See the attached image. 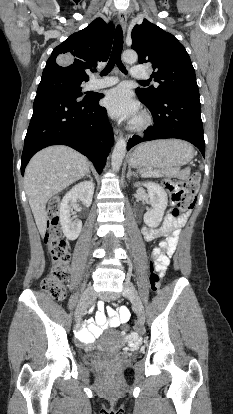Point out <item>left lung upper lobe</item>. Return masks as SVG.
<instances>
[{
	"mask_svg": "<svg viewBox=\"0 0 233 414\" xmlns=\"http://www.w3.org/2000/svg\"><path fill=\"white\" fill-rule=\"evenodd\" d=\"M131 36L139 63H152V76L159 83L157 88L136 89L147 103L154 105L173 93L198 91L190 57L172 34L144 19L133 28Z\"/></svg>",
	"mask_w": 233,
	"mask_h": 414,
	"instance_id": "obj_1",
	"label": "left lung upper lobe"
}]
</instances>
